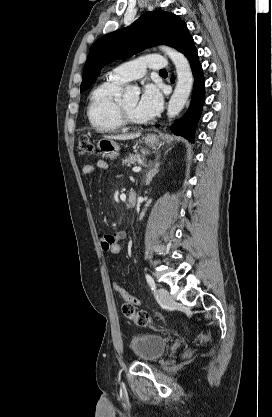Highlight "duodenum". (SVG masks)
Wrapping results in <instances>:
<instances>
[{"instance_id":"1","label":"duodenum","mask_w":272,"mask_h":417,"mask_svg":"<svg viewBox=\"0 0 272 417\" xmlns=\"http://www.w3.org/2000/svg\"><path fill=\"white\" fill-rule=\"evenodd\" d=\"M137 200V193L134 189H131L128 196H127V201H126V205L128 208H132Z\"/></svg>"}]
</instances>
